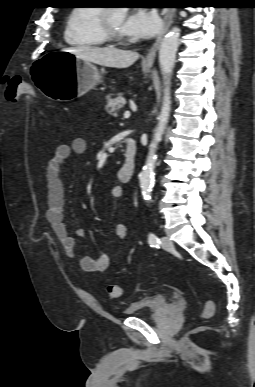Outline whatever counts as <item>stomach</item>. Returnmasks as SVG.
Instances as JSON below:
<instances>
[{"instance_id": "stomach-1", "label": "stomach", "mask_w": 255, "mask_h": 387, "mask_svg": "<svg viewBox=\"0 0 255 387\" xmlns=\"http://www.w3.org/2000/svg\"><path fill=\"white\" fill-rule=\"evenodd\" d=\"M46 55H38L30 66L28 82L43 91L45 99H72L92 89L102 81V73L92 63L64 51L63 46H44ZM151 65H145L150 71Z\"/></svg>"}]
</instances>
